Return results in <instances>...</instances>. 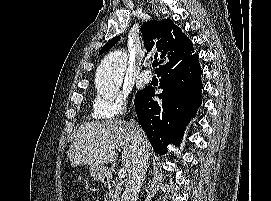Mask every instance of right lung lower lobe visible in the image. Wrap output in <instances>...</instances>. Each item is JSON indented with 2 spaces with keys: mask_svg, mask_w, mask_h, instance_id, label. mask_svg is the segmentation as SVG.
<instances>
[{
  "mask_svg": "<svg viewBox=\"0 0 271 201\" xmlns=\"http://www.w3.org/2000/svg\"><path fill=\"white\" fill-rule=\"evenodd\" d=\"M188 39L181 55L163 65L158 94L160 102L153 101L155 89L145 87L135 97L136 114L157 154H166L167 145H178L190 118L201 105V67L198 55L193 54Z\"/></svg>",
  "mask_w": 271,
  "mask_h": 201,
  "instance_id": "right-lung-lower-lobe-1",
  "label": "right lung lower lobe"
}]
</instances>
